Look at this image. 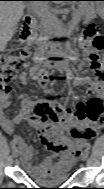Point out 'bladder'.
<instances>
[{
	"mask_svg": "<svg viewBox=\"0 0 104 189\" xmlns=\"http://www.w3.org/2000/svg\"><path fill=\"white\" fill-rule=\"evenodd\" d=\"M31 179L43 185H56L65 183L69 179V168L50 167L43 175L30 174Z\"/></svg>",
	"mask_w": 104,
	"mask_h": 189,
	"instance_id": "bladder-1",
	"label": "bladder"
}]
</instances>
